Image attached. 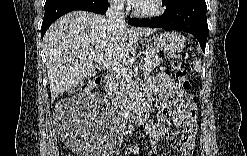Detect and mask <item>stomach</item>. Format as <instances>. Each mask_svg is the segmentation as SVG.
Segmentation results:
<instances>
[{"label":"stomach","mask_w":247,"mask_h":156,"mask_svg":"<svg viewBox=\"0 0 247 156\" xmlns=\"http://www.w3.org/2000/svg\"><path fill=\"white\" fill-rule=\"evenodd\" d=\"M154 47L165 53L181 52L185 47V37L176 31L160 33L152 38Z\"/></svg>","instance_id":"obj_1"}]
</instances>
